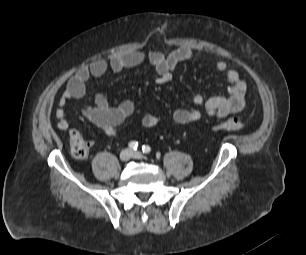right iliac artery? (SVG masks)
I'll use <instances>...</instances> for the list:
<instances>
[{
  "mask_svg": "<svg viewBox=\"0 0 306 255\" xmlns=\"http://www.w3.org/2000/svg\"><path fill=\"white\" fill-rule=\"evenodd\" d=\"M128 147H129L131 150H136L137 147H138V142H136V141H131V142H129Z\"/></svg>",
  "mask_w": 306,
  "mask_h": 255,
  "instance_id": "obj_1",
  "label": "right iliac artery"
}]
</instances>
